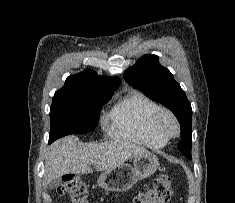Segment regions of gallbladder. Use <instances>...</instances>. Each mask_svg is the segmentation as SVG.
<instances>
[{
	"mask_svg": "<svg viewBox=\"0 0 235 203\" xmlns=\"http://www.w3.org/2000/svg\"><path fill=\"white\" fill-rule=\"evenodd\" d=\"M60 184V179H54L50 182V188L53 189V188H56L57 186H59Z\"/></svg>",
	"mask_w": 235,
	"mask_h": 203,
	"instance_id": "gallbladder-1",
	"label": "gallbladder"
}]
</instances>
